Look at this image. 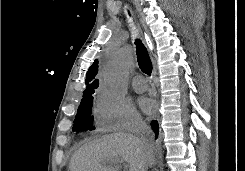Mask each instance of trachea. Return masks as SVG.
<instances>
[{
  "instance_id": "obj_1",
  "label": "trachea",
  "mask_w": 245,
  "mask_h": 171,
  "mask_svg": "<svg viewBox=\"0 0 245 171\" xmlns=\"http://www.w3.org/2000/svg\"><path fill=\"white\" fill-rule=\"evenodd\" d=\"M135 44H136L137 61L141 71L147 75H151L152 63L146 47L144 46V44L141 42L140 39H136Z\"/></svg>"
}]
</instances>
